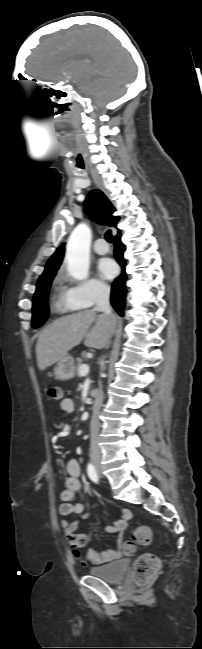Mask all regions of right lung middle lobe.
Returning a JSON list of instances; mask_svg holds the SVG:
<instances>
[{"instance_id":"right-lung-middle-lobe-1","label":"right lung middle lobe","mask_w":202,"mask_h":649,"mask_svg":"<svg viewBox=\"0 0 202 649\" xmlns=\"http://www.w3.org/2000/svg\"><path fill=\"white\" fill-rule=\"evenodd\" d=\"M54 276L55 272L42 276L38 280L32 307L31 325L33 328L42 326L49 317V309L47 304L48 291Z\"/></svg>"}]
</instances>
